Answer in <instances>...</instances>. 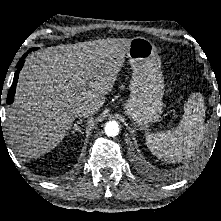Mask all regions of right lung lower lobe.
<instances>
[{
  "label": "right lung lower lobe",
  "mask_w": 221,
  "mask_h": 221,
  "mask_svg": "<svg viewBox=\"0 0 221 221\" xmlns=\"http://www.w3.org/2000/svg\"><path fill=\"white\" fill-rule=\"evenodd\" d=\"M37 48H32L30 49L28 52H26L22 57L21 59L19 60L18 64H17V70L15 72V75H14V79H13V83L10 87V90H9V93H8V97H7V104H11L14 100V94H15V90H16V85H17V81H18V76H19V72L20 70L22 69L23 65H24V58L27 56V54L30 52V51H34L36 50Z\"/></svg>",
  "instance_id": "right-lung-lower-lobe-1"
}]
</instances>
